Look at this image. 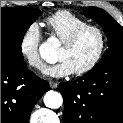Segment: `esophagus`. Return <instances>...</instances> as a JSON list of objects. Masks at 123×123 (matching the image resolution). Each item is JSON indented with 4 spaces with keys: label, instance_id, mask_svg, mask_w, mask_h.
Returning <instances> with one entry per match:
<instances>
[{
    "label": "esophagus",
    "instance_id": "34e87169",
    "mask_svg": "<svg viewBox=\"0 0 123 123\" xmlns=\"http://www.w3.org/2000/svg\"><path fill=\"white\" fill-rule=\"evenodd\" d=\"M49 86H50V88L55 89V88L58 87V83H57V82H54V81H50V82H49Z\"/></svg>",
    "mask_w": 123,
    "mask_h": 123
}]
</instances>
